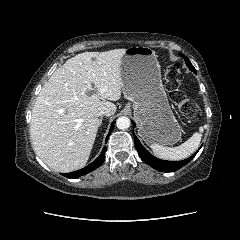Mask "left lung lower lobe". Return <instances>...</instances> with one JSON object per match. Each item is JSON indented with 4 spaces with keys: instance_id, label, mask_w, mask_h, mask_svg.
I'll return each instance as SVG.
<instances>
[{
    "instance_id": "left-lung-lower-lobe-1",
    "label": "left lung lower lobe",
    "mask_w": 240,
    "mask_h": 240,
    "mask_svg": "<svg viewBox=\"0 0 240 240\" xmlns=\"http://www.w3.org/2000/svg\"><path fill=\"white\" fill-rule=\"evenodd\" d=\"M133 125L135 127V123L133 122ZM134 140H135V147L138 151V154L140 156V158L149 166L153 167L154 169L161 171V172H173L176 171L178 169H180L181 167H183L184 165H186L187 163H189L197 154V152L195 154H193L190 158H187L185 160L182 161H165V160H160L156 157H154L153 155H151L140 143V141L138 140V138L134 135Z\"/></svg>"
}]
</instances>
